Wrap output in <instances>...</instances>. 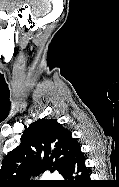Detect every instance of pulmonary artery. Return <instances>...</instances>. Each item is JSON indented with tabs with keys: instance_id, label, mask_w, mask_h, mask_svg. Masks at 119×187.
I'll return each mask as SVG.
<instances>
[{
	"instance_id": "obj_1",
	"label": "pulmonary artery",
	"mask_w": 119,
	"mask_h": 187,
	"mask_svg": "<svg viewBox=\"0 0 119 187\" xmlns=\"http://www.w3.org/2000/svg\"><path fill=\"white\" fill-rule=\"evenodd\" d=\"M48 178L57 179V178H59V175L56 174V173H53V174H50V175L48 176Z\"/></svg>"
}]
</instances>
